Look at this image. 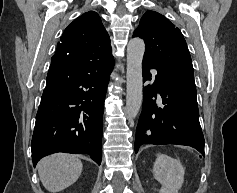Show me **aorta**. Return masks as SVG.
<instances>
[{
  "label": "aorta",
  "instance_id": "1",
  "mask_svg": "<svg viewBox=\"0 0 237 193\" xmlns=\"http://www.w3.org/2000/svg\"><path fill=\"white\" fill-rule=\"evenodd\" d=\"M145 52V43L141 38H133L127 46L126 71V116L134 119L140 110L143 98L142 61Z\"/></svg>",
  "mask_w": 237,
  "mask_h": 193
}]
</instances>
